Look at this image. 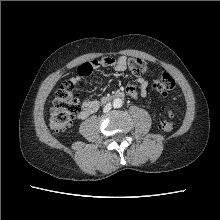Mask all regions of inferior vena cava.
I'll return each mask as SVG.
<instances>
[{
	"label": "inferior vena cava",
	"instance_id": "602c4592",
	"mask_svg": "<svg viewBox=\"0 0 220 220\" xmlns=\"http://www.w3.org/2000/svg\"><path fill=\"white\" fill-rule=\"evenodd\" d=\"M111 108H112V104L111 103H107L105 105L104 109H103V112L107 113V112H109L111 110Z\"/></svg>",
	"mask_w": 220,
	"mask_h": 220
}]
</instances>
